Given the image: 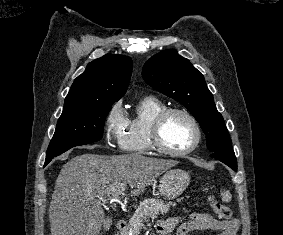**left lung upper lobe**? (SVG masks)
Segmentation results:
<instances>
[{"label": "left lung upper lobe", "instance_id": "obj_1", "mask_svg": "<svg viewBox=\"0 0 283 235\" xmlns=\"http://www.w3.org/2000/svg\"><path fill=\"white\" fill-rule=\"evenodd\" d=\"M148 85L184 105L200 123L211 152H233L232 142L222 115L203 75L176 50L161 51L143 66Z\"/></svg>", "mask_w": 283, "mask_h": 235}]
</instances>
